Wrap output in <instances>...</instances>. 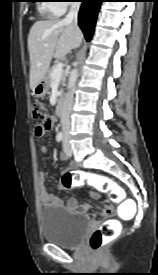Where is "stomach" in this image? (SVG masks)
Instances as JSON below:
<instances>
[{
  "label": "stomach",
  "mask_w": 158,
  "mask_h": 275,
  "mask_svg": "<svg viewBox=\"0 0 158 275\" xmlns=\"http://www.w3.org/2000/svg\"><path fill=\"white\" fill-rule=\"evenodd\" d=\"M49 89V84H48V79H47V75L40 80L37 85L35 86L33 93L36 97H44Z\"/></svg>",
  "instance_id": "1"
}]
</instances>
